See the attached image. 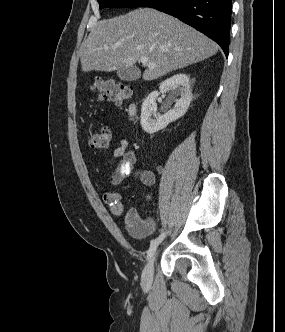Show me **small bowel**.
Segmentation results:
<instances>
[{"instance_id": "small-bowel-1", "label": "small bowel", "mask_w": 285, "mask_h": 332, "mask_svg": "<svg viewBox=\"0 0 285 332\" xmlns=\"http://www.w3.org/2000/svg\"><path fill=\"white\" fill-rule=\"evenodd\" d=\"M119 159V163L110 176L112 186H119L123 180L129 176L138 179L146 186H153L156 183L155 174L146 169L134 168L137 157L134 150L129 148L127 139H122L119 146L114 150L110 161ZM104 202L109 207L111 214L119 216L124 211L121 194L116 191H107L103 195ZM138 213L134 210L129 211L126 215V222H134L138 219Z\"/></svg>"}]
</instances>
